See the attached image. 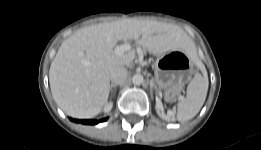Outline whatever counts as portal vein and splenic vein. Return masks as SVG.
I'll use <instances>...</instances> for the list:
<instances>
[{
	"instance_id": "18ae733b",
	"label": "portal vein and splenic vein",
	"mask_w": 261,
	"mask_h": 150,
	"mask_svg": "<svg viewBox=\"0 0 261 150\" xmlns=\"http://www.w3.org/2000/svg\"><path fill=\"white\" fill-rule=\"evenodd\" d=\"M130 49H131V46L129 44H123V45H120V46H116L115 53L117 55H122V54H124V52H127Z\"/></svg>"
}]
</instances>
